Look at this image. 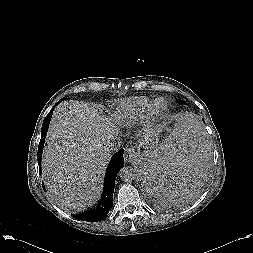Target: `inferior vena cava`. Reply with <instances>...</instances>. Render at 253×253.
<instances>
[{
    "mask_svg": "<svg viewBox=\"0 0 253 253\" xmlns=\"http://www.w3.org/2000/svg\"><path fill=\"white\" fill-rule=\"evenodd\" d=\"M121 142L112 140L110 143L106 145V150L108 153L117 152L120 148Z\"/></svg>",
    "mask_w": 253,
    "mask_h": 253,
    "instance_id": "inferior-vena-cava-1",
    "label": "inferior vena cava"
}]
</instances>
